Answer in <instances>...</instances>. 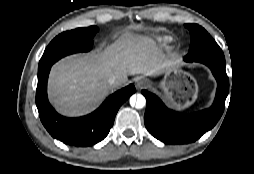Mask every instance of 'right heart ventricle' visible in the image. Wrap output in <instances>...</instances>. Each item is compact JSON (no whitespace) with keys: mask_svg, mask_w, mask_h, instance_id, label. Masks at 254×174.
<instances>
[{"mask_svg":"<svg viewBox=\"0 0 254 174\" xmlns=\"http://www.w3.org/2000/svg\"><path fill=\"white\" fill-rule=\"evenodd\" d=\"M158 40L163 44H168L171 42V38L168 36H161L158 38Z\"/></svg>","mask_w":254,"mask_h":174,"instance_id":"right-heart-ventricle-1","label":"right heart ventricle"}]
</instances>
